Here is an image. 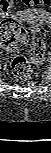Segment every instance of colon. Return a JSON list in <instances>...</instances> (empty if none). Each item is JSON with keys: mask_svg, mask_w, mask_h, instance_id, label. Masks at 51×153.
I'll return each mask as SVG.
<instances>
[{"mask_svg": "<svg viewBox=\"0 0 51 153\" xmlns=\"http://www.w3.org/2000/svg\"><path fill=\"white\" fill-rule=\"evenodd\" d=\"M30 6H51V0H23ZM1 45L10 52H17L27 42V33L22 24L15 19H5L1 23ZM45 31L36 27L33 30V37L30 48V57L33 63L41 64L45 57ZM11 71L15 78L28 80L31 77L32 69L29 61L24 56H16L11 62Z\"/></svg>", "mask_w": 51, "mask_h": 153, "instance_id": "colon-1", "label": "colon"}]
</instances>
